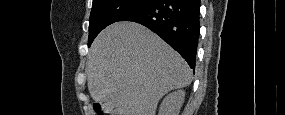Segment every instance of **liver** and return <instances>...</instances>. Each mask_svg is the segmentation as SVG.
<instances>
[{
    "mask_svg": "<svg viewBox=\"0 0 285 115\" xmlns=\"http://www.w3.org/2000/svg\"><path fill=\"white\" fill-rule=\"evenodd\" d=\"M86 71L91 97L112 115H155L159 100L190 85L193 74L158 35L134 22H116L97 36Z\"/></svg>",
    "mask_w": 285,
    "mask_h": 115,
    "instance_id": "6515ba94",
    "label": "liver"
}]
</instances>
